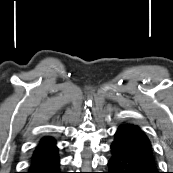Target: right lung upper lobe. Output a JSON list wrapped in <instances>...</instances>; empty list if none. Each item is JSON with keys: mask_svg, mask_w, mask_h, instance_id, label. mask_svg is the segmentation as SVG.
Masks as SVG:
<instances>
[{"mask_svg": "<svg viewBox=\"0 0 173 173\" xmlns=\"http://www.w3.org/2000/svg\"><path fill=\"white\" fill-rule=\"evenodd\" d=\"M56 140L52 137H43L38 146H47V145H52V144H55Z\"/></svg>", "mask_w": 173, "mask_h": 173, "instance_id": "cb5924a9", "label": "right lung upper lobe"}]
</instances>
